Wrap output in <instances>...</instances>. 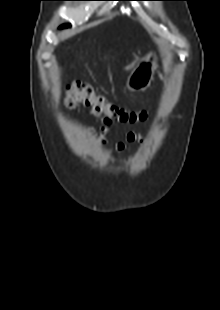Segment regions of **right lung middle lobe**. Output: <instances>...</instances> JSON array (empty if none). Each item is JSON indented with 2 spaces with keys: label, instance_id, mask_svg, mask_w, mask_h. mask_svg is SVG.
Wrapping results in <instances>:
<instances>
[{
  "label": "right lung middle lobe",
  "instance_id": "dd1d6c3e",
  "mask_svg": "<svg viewBox=\"0 0 220 310\" xmlns=\"http://www.w3.org/2000/svg\"><path fill=\"white\" fill-rule=\"evenodd\" d=\"M66 27H70V25L69 24H64V25L60 26V28H66Z\"/></svg>",
  "mask_w": 220,
  "mask_h": 310
}]
</instances>
